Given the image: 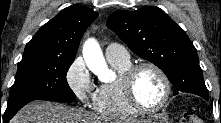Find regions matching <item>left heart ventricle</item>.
Listing matches in <instances>:
<instances>
[{
	"instance_id": "obj_1",
	"label": "left heart ventricle",
	"mask_w": 221,
	"mask_h": 123,
	"mask_svg": "<svg viewBox=\"0 0 221 123\" xmlns=\"http://www.w3.org/2000/svg\"><path fill=\"white\" fill-rule=\"evenodd\" d=\"M164 91L162 79L154 70L145 68L136 75L134 92L142 105L157 106L163 99Z\"/></svg>"
}]
</instances>
